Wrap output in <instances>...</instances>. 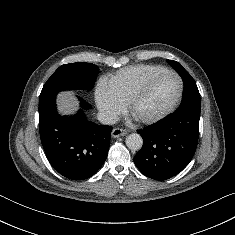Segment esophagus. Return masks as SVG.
I'll list each match as a JSON object with an SVG mask.
<instances>
[{"label":"esophagus","mask_w":235,"mask_h":235,"mask_svg":"<svg viewBox=\"0 0 235 235\" xmlns=\"http://www.w3.org/2000/svg\"><path fill=\"white\" fill-rule=\"evenodd\" d=\"M126 134H127V130H125V129L115 128L112 130V137L113 138L124 136Z\"/></svg>","instance_id":"esophagus-1"}]
</instances>
